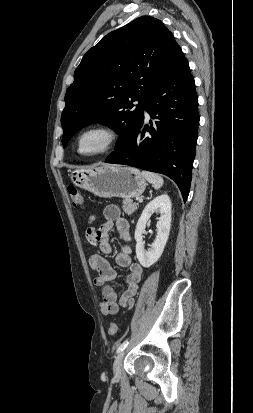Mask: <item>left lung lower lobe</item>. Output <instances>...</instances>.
Wrapping results in <instances>:
<instances>
[{"instance_id": "left-lung-lower-lobe-1", "label": "left lung lower lobe", "mask_w": 253, "mask_h": 413, "mask_svg": "<svg viewBox=\"0 0 253 413\" xmlns=\"http://www.w3.org/2000/svg\"><path fill=\"white\" fill-rule=\"evenodd\" d=\"M144 110L155 119L153 126L152 122L151 127L143 126V114L128 146L105 162L164 174L178 185L186 201L190 191L199 114L195 82L181 48Z\"/></svg>"}]
</instances>
